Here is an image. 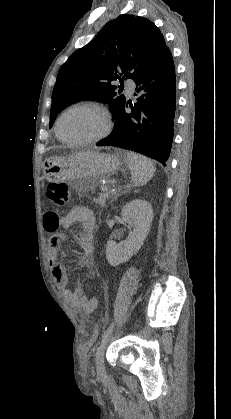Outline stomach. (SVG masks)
<instances>
[{
    "label": "stomach",
    "instance_id": "0dacf381",
    "mask_svg": "<svg viewBox=\"0 0 231 419\" xmlns=\"http://www.w3.org/2000/svg\"><path fill=\"white\" fill-rule=\"evenodd\" d=\"M126 162L123 154L80 151L43 162L44 177L49 182H72L78 193L93 189L99 180L116 173Z\"/></svg>",
    "mask_w": 231,
    "mask_h": 419
}]
</instances>
